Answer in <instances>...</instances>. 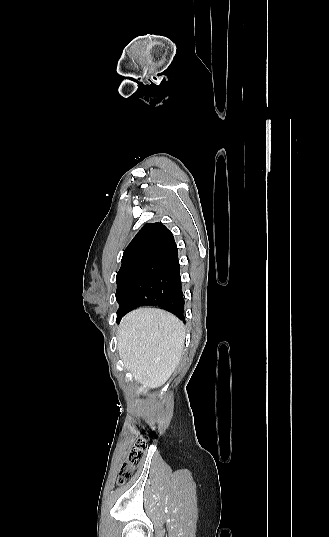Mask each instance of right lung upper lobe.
<instances>
[{
  "label": "right lung upper lobe",
  "instance_id": "right-lung-upper-lobe-1",
  "mask_svg": "<svg viewBox=\"0 0 329 537\" xmlns=\"http://www.w3.org/2000/svg\"><path fill=\"white\" fill-rule=\"evenodd\" d=\"M175 247L173 234L162 223H147L125 249L121 267L135 262L151 263Z\"/></svg>",
  "mask_w": 329,
  "mask_h": 537
}]
</instances>
